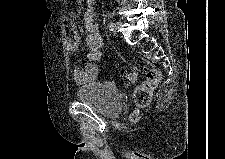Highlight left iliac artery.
I'll return each instance as SVG.
<instances>
[{
  "instance_id": "obj_1",
  "label": "left iliac artery",
  "mask_w": 225,
  "mask_h": 159,
  "mask_svg": "<svg viewBox=\"0 0 225 159\" xmlns=\"http://www.w3.org/2000/svg\"><path fill=\"white\" fill-rule=\"evenodd\" d=\"M108 28H109L110 30H112V28H113V23H112V22H110V23L108 24Z\"/></svg>"
}]
</instances>
